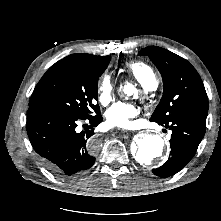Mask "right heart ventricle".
<instances>
[{"label": "right heart ventricle", "mask_w": 221, "mask_h": 221, "mask_svg": "<svg viewBox=\"0 0 221 221\" xmlns=\"http://www.w3.org/2000/svg\"><path fill=\"white\" fill-rule=\"evenodd\" d=\"M127 72L145 87H150L156 76L150 66L142 61H133L126 65Z\"/></svg>", "instance_id": "1"}]
</instances>
